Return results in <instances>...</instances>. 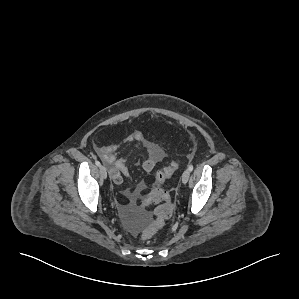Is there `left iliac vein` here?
I'll return each instance as SVG.
<instances>
[{"label": "left iliac vein", "instance_id": "left-iliac-vein-1", "mask_svg": "<svg viewBox=\"0 0 299 299\" xmlns=\"http://www.w3.org/2000/svg\"><path fill=\"white\" fill-rule=\"evenodd\" d=\"M189 176H190V171L187 169V170H185V171L183 172V174H182V182H183L184 184H186V183L188 182V180H189Z\"/></svg>", "mask_w": 299, "mask_h": 299}]
</instances>
